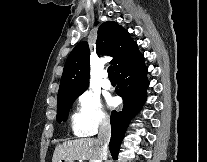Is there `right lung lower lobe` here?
<instances>
[{
    "label": "right lung lower lobe",
    "instance_id": "right-lung-lower-lobe-1",
    "mask_svg": "<svg viewBox=\"0 0 207 162\" xmlns=\"http://www.w3.org/2000/svg\"><path fill=\"white\" fill-rule=\"evenodd\" d=\"M146 74L147 68L144 65L143 55L116 72L118 82L116 93L123 98L124 107L122 111H113L111 114L112 135L109 148L114 159H117L129 120L146 101V89L149 85Z\"/></svg>",
    "mask_w": 207,
    "mask_h": 162
}]
</instances>
